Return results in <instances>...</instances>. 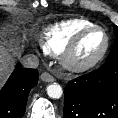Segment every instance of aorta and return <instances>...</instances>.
I'll use <instances>...</instances> for the list:
<instances>
[{"mask_svg": "<svg viewBox=\"0 0 118 118\" xmlns=\"http://www.w3.org/2000/svg\"><path fill=\"white\" fill-rule=\"evenodd\" d=\"M47 94L50 98L59 99L63 94L62 87L57 83L50 84L47 86Z\"/></svg>", "mask_w": 118, "mask_h": 118, "instance_id": "aorta-1", "label": "aorta"}]
</instances>
